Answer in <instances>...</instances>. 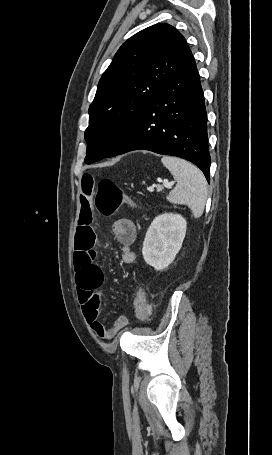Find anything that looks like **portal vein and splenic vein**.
I'll list each match as a JSON object with an SVG mask.
<instances>
[{"instance_id": "portal-vein-and-splenic-vein-1", "label": "portal vein and splenic vein", "mask_w": 272, "mask_h": 455, "mask_svg": "<svg viewBox=\"0 0 272 455\" xmlns=\"http://www.w3.org/2000/svg\"><path fill=\"white\" fill-rule=\"evenodd\" d=\"M175 182H163L164 187L171 189Z\"/></svg>"}]
</instances>
